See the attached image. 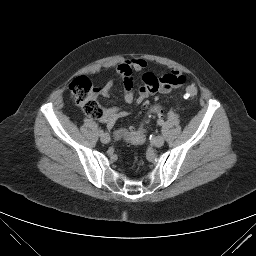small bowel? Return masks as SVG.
<instances>
[{
  "instance_id": "c3829d8e",
  "label": "small bowel",
  "mask_w": 256,
  "mask_h": 256,
  "mask_svg": "<svg viewBox=\"0 0 256 256\" xmlns=\"http://www.w3.org/2000/svg\"><path fill=\"white\" fill-rule=\"evenodd\" d=\"M146 67V61L140 58L125 60L118 65L117 72L123 80V98L127 104H140L155 93L168 94L172 90L182 87L186 81L185 76L177 70H173L161 77H157L151 72H145L142 76L141 85L135 89L133 73L141 72ZM112 86L113 81H108L101 90L102 95L108 96ZM127 115L128 112L124 110L109 107L104 110L101 121L108 127H112L118 120Z\"/></svg>"
}]
</instances>
